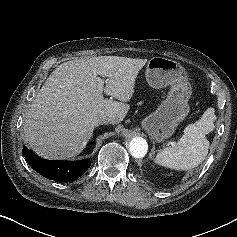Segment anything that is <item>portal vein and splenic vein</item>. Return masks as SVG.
Segmentation results:
<instances>
[{"mask_svg":"<svg viewBox=\"0 0 237 237\" xmlns=\"http://www.w3.org/2000/svg\"><path fill=\"white\" fill-rule=\"evenodd\" d=\"M97 81H98V90L100 92H102L103 91V80L100 77H98Z\"/></svg>","mask_w":237,"mask_h":237,"instance_id":"obj_1","label":"portal vein and splenic vein"}]
</instances>
